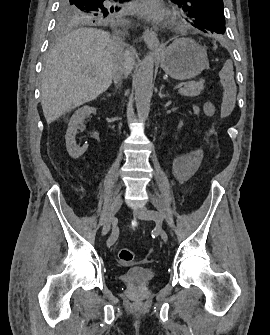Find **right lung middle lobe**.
<instances>
[{
	"label": "right lung middle lobe",
	"instance_id": "1",
	"mask_svg": "<svg viewBox=\"0 0 270 335\" xmlns=\"http://www.w3.org/2000/svg\"><path fill=\"white\" fill-rule=\"evenodd\" d=\"M57 12V28L65 31L90 24L110 25L117 20L122 4L115 0V7L103 5L104 0H60Z\"/></svg>",
	"mask_w": 270,
	"mask_h": 335
}]
</instances>
